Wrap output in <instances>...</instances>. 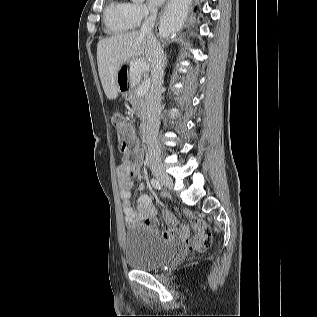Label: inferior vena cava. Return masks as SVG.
Listing matches in <instances>:
<instances>
[{
    "label": "inferior vena cava",
    "instance_id": "1",
    "mask_svg": "<svg viewBox=\"0 0 317 317\" xmlns=\"http://www.w3.org/2000/svg\"><path fill=\"white\" fill-rule=\"evenodd\" d=\"M150 15L142 24L140 34L145 35L152 44V85L147 96L145 140L152 169L161 166V152L158 143V132L161 114V88L163 84L165 56L153 34V27L157 17V8L149 7Z\"/></svg>",
    "mask_w": 317,
    "mask_h": 317
}]
</instances>
